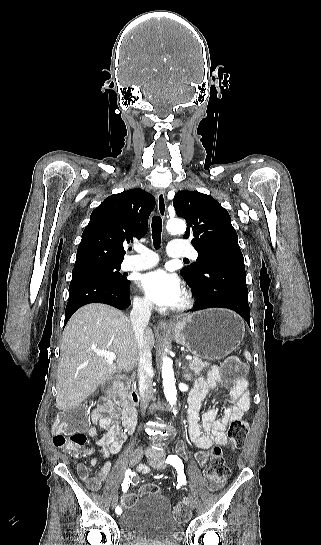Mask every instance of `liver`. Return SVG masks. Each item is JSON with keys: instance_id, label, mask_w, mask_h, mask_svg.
I'll return each instance as SVG.
<instances>
[{"instance_id": "6515ba94", "label": "liver", "mask_w": 321, "mask_h": 545, "mask_svg": "<svg viewBox=\"0 0 321 545\" xmlns=\"http://www.w3.org/2000/svg\"><path fill=\"white\" fill-rule=\"evenodd\" d=\"M143 337L146 347L140 349L129 317L114 307L91 303L78 309L63 333L56 381L57 409L78 407L114 373L131 371L142 351L154 347L151 329H145ZM95 351L115 353L116 363H109Z\"/></svg>"}]
</instances>
